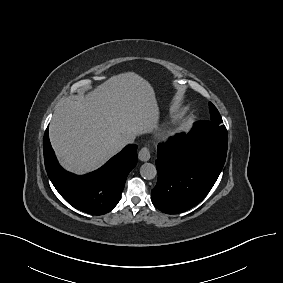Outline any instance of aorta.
Here are the masks:
<instances>
[{
  "label": "aorta",
  "mask_w": 283,
  "mask_h": 283,
  "mask_svg": "<svg viewBox=\"0 0 283 283\" xmlns=\"http://www.w3.org/2000/svg\"><path fill=\"white\" fill-rule=\"evenodd\" d=\"M140 174L144 179H153L157 175L156 167L151 163H144L140 168Z\"/></svg>",
  "instance_id": "aorta-1"
}]
</instances>
